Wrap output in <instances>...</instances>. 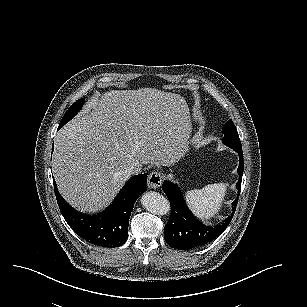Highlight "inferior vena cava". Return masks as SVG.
Here are the masks:
<instances>
[{
    "instance_id": "obj_1",
    "label": "inferior vena cava",
    "mask_w": 307,
    "mask_h": 307,
    "mask_svg": "<svg viewBox=\"0 0 307 307\" xmlns=\"http://www.w3.org/2000/svg\"><path fill=\"white\" fill-rule=\"evenodd\" d=\"M139 172H140V169L137 166H130L125 171V173L128 174V176L138 174Z\"/></svg>"
}]
</instances>
